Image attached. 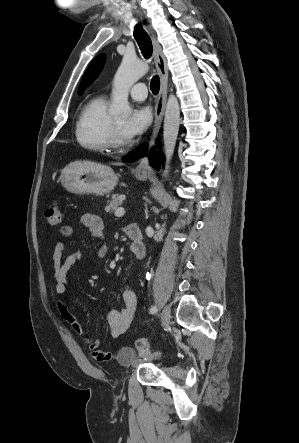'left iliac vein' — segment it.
<instances>
[{
    "label": "left iliac vein",
    "instance_id": "obj_1",
    "mask_svg": "<svg viewBox=\"0 0 299 443\" xmlns=\"http://www.w3.org/2000/svg\"><path fill=\"white\" fill-rule=\"evenodd\" d=\"M171 309L169 305H166L162 311V326L167 329L170 325Z\"/></svg>",
    "mask_w": 299,
    "mask_h": 443
}]
</instances>
